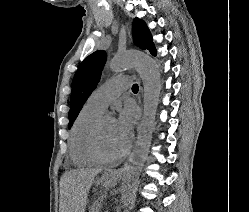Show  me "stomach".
Here are the masks:
<instances>
[{
    "label": "stomach",
    "mask_w": 249,
    "mask_h": 212,
    "mask_svg": "<svg viewBox=\"0 0 249 212\" xmlns=\"http://www.w3.org/2000/svg\"><path fill=\"white\" fill-rule=\"evenodd\" d=\"M103 179H104V180H111V179H112V176H111V175H104V176H103Z\"/></svg>",
    "instance_id": "0dacf381"
}]
</instances>
